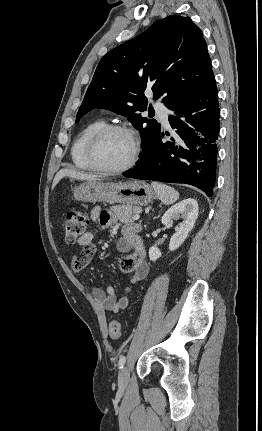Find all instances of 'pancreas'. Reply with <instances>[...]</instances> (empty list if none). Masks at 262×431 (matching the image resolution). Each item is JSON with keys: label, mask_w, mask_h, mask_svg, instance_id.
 Wrapping results in <instances>:
<instances>
[{"label": "pancreas", "mask_w": 262, "mask_h": 431, "mask_svg": "<svg viewBox=\"0 0 262 431\" xmlns=\"http://www.w3.org/2000/svg\"><path fill=\"white\" fill-rule=\"evenodd\" d=\"M118 220L124 224L132 223L133 216L141 212V207L118 205L111 207Z\"/></svg>", "instance_id": "cf45deb5"}]
</instances>
